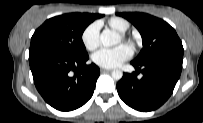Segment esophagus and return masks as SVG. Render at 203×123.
<instances>
[{"instance_id":"esophagus-1","label":"esophagus","mask_w":203,"mask_h":123,"mask_svg":"<svg viewBox=\"0 0 203 123\" xmlns=\"http://www.w3.org/2000/svg\"><path fill=\"white\" fill-rule=\"evenodd\" d=\"M101 72L106 73L112 71V69L101 68Z\"/></svg>"}]
</instances>
